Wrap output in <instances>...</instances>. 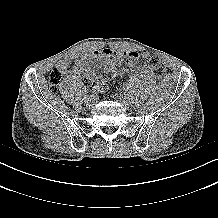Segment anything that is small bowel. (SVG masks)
I'll return each mask as SVG.
<instances>
[{
    "instance_id": "1",
    "label": "small bowel",
    "mask_w": 218,
    "mask_h": 218,
    "mask_svg": "<svg viewBox=\"0 0 218 218\" xmlns=\"http://www.w3.org/2000/svg\"><path fill=\"white\" fill-rule=\"evenodd\" d=\"M133 54L137 53L109 48L95 50L89 54L74 52L59 60L57 63V68L62 73L73 72L75 74L85 76L94 83L96 80L94 79V76L89 68L90 58L97 60L98 68L107 70L115 65H121L124 62L127 63L130 56ZM72 62L74 64L71 68L70 66ZM132 68L133 67L130 69Z\"/></svg>"
}]
</instances>
